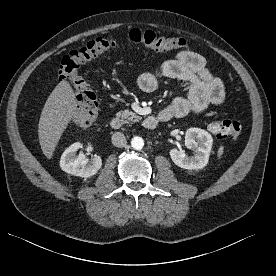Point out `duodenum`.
<instances>
[{"mask_svg":"<svg viewBox=\"0 0 276 276\" xmlns=\"http://www.w3.org/2000/svg\"><path fill=\"white\" fill-rule=\"evenodd\" d=\"M169 118L162 114L158 116H148L143 120V127L149 130L155 129L159 123L168 121ZM110 126L113 130H120L123 126V121L119 117H113L110 120Z\"/></svg>","mask_w":276,"mask_h":276,"instance_id":"1","label":"duodenum"}]
</instances>
